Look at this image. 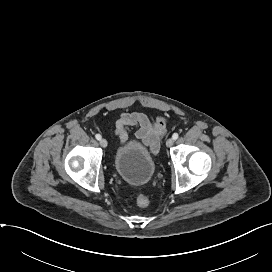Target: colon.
Wrapping results in <instances>:
<instances>
[{
  "instance_id": "5ec220e1",
  "label": "colon",
  "mask_w": 272,
  "mask_h": 272,
  "mask_svg": "<svg viewBox=\"0 0 272 272\" xmlns=\"http://www.w3.org/2000/svg\"><path fill=\"white\" fill-rule=\"evenodd\" d=\"M136 204L142 208L147 207L149 205V199L143 194H138L136 196Z\"/></svg>"
}]
</instances>
